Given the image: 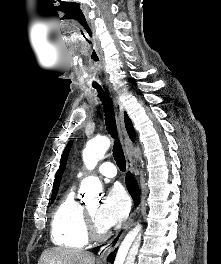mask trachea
Listing matches in <instances>:
<instances>
[{
    "label": "trachea",
    "mask_w": 221,
    "mask_h": 264,
    "mask_svg": "<svg viewBox=\"0 0 221 264\" xmlns=\"http://www.w3.org/2000/svg\"><path fill=\"white\" fill-rule=\"evenodd\" d=\"M98 91V97L100 98L104 112H105V123L106 129L111 137L114 139L113 145V156L116 161L117 166L121 171H125L126 169V161L124 152L122 149V145L120 140L118 139L117 127L115 122V113L112 105V101L108 94L101 88L99 85L93 86Z\"/></svg>",
    "instance_id": "obj_1"
}]
</instances>
